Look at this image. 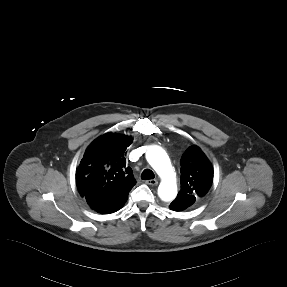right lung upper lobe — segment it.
<instances>
[{
	"mask_svg": "<svg viewBox=\"0 0 287 287\" xmlns=\"http://www.w3.org/2000/svg\"><path fill=\"white\" fill-rule=\"evenodd\" d=\"M131 142V137L106 133L90 144L76 171V185L83 197L132 189L136 181L125 159Z\"/></svg>",
	"mask_w": 287,
	"mask_h": 287,
	"instance_id": "cb5924a9",
	"label": "right lung upper lobe"
}]
</instances>
